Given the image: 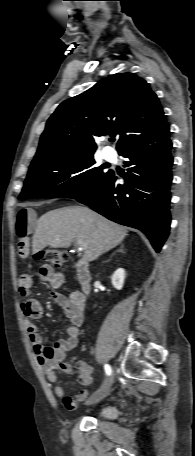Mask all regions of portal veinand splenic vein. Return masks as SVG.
<instances>
[{"label": "portal vein and splenic vein", "mask_w": 195, "mask_h": 456, "mask_svg": "<svg viewBox=\"0 0 195 456\" xmlns=\"http://www.w3.org/2000/svg\"><path fill=\"white\" fill-rule=\"evenodd\" d=\"M78 250L83 251L86 249L87 245L80 239L77 240Z\"/></svg>", "instance_id": "18ae733b"}]
</instances>
